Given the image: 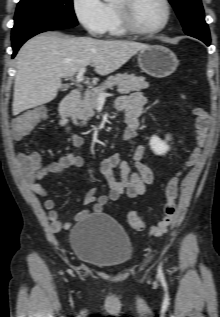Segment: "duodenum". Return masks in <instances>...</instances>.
I'll return each instance as SVG.
<instances>
[{
  "instance_id": "410a0bca",
  "label": "duodenum",
  "mask_w": 220,
  "mask_h": 317,
  "mask_svg": "<svg viewBox=\"0 0 220 317\" xmlns=\"http://www.w3.org/2000/svg\"><path fill=\"white\" fill-rule=\"evenodd\" d=\"M81 97L82 91L80 89H74L61 101L59 106V122L61 126H67L71 123V117L76 111Z\"/></svg>"
}]
</instances>
